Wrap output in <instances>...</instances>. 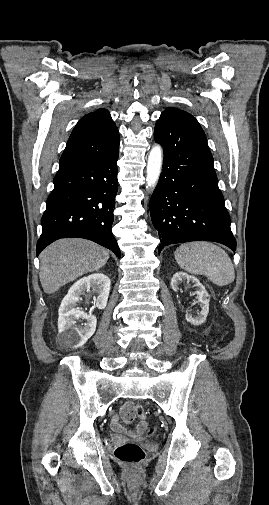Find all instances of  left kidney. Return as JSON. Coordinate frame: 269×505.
<instances>
[{
  "instance_id": "5707ae66",
  "label": "left kidney",
  "mask_w": 269,
  "mask_h": 505,
  "mask_svg": "<svg viewBox=\"0 0 269 505\" xmlns=\"http://www.w3.org/2000/svg\"><path fill=\"white\" fill-rule=\"evenodd\" d=\"M187 280V282H192L196 286L195 294L197 295V303L200 305V312L197 313V316H193L190 312H187L185 315V319L187 322L192 325H201L206 321L207 315L209 313V301L210 295L206 291L205 287L201 284V282L195 277L191 276L185 272H176L171 280V288L174 291L178 290V286L181 281Z\"/></svg>"
}]
</instances>
